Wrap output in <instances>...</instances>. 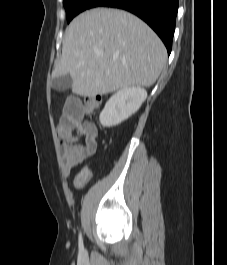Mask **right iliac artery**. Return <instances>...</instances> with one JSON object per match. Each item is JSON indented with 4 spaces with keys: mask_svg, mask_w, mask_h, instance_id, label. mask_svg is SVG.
<instances>
[{
    "mask_svg": "<svg viewBox=\"0 0 227 265\" xmlns=\"http://www.w3.org/2000/svg\"><path fill=\"white\" fill-rule=\"evenodd\" d=\"M79 246L80 248H83V241H82L81 233L79 234Z\"/></svg>",
    "mask_w": 227,
    "mask_h": 265,
    "instance_id": "right-iliac-artery-1",
    "label": "right iliac artery"
}]
</instances>
